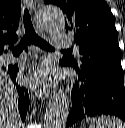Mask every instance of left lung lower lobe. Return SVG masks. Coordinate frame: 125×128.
I'll return each instance as SVG.
<instances>
[{
	"label": "left lung lower lobe",
	"instance_id": "1",
	"mask_svg": "<svg viewBox=\"0 0 125 128\" xmlns=\"http://www.w3.org/2000/svg\"><path fill=\"white\" fill-rule=\"evenodd\" d=\"M61 66H69L63 59ZM78 79L72 90V107L66 127L88 116L115 115L125 121L123 70L106 69L90 76L76 71Z\"/></svg>",
	"mask_w": 125,
	"mask_h": 128
}]
</instances>
